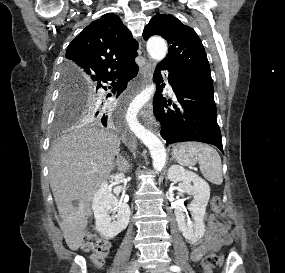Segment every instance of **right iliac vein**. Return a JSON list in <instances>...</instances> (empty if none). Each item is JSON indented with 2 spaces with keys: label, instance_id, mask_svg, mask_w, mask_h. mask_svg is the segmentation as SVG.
I'll return each mask as SVG.
<instances>
[{
  "label": "right iliac vein",
  "instance_id": "obj_1",
  "mask_svg": "<svg viewBox=\"0 0 285 273\" xmlns=\"http://www.w3.org/2000/svg\"><path fill=\"white\" fill-rule=\"evenodd\" d=\"M138 268H139V262L137 260H134L128 266L127 273H135Z\"/></svg>",
  "mask_w": 285,
  "mask_h": 273
}]
</instances>
